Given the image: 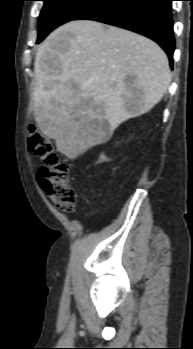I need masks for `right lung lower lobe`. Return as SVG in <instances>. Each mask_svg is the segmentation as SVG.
I'll list each match as a JSON object with an SVG mask.
<instances>
[{
	"label": "right lung lower lobe",
	"instance_id": "98d812e1",
	"mask_svg": "<svg viewBox=\"0 0 193 349\" xmlns=\"http://www.w3.org/2000/svg\"><path fill=\"white\" fill-rule=\"evenodd\" d=\"M171 1L96 0L73 20H94L151 38L165 50L172 66L175 41Z\"/></svg>",
	"mask_w": 193,
	"mask_h": 349
}]
</instances>
